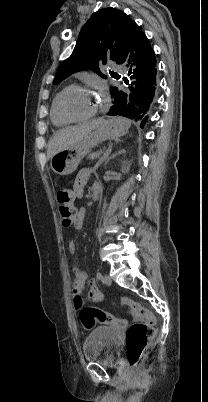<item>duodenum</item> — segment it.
Wrapping results in <instances>:
<instances>
[{
    "instance_id": "410a0bca",
    "label": "duodenum",
    "mask_w": 208,
    "mask_h": 402,
    "mask_svg": "<svg viewBox=\"0 0 208 402\" xmlns=\"http://www.w3.org/2000/svg\"><path fill=\"white\" fill-rule=\"evenodd\" d=\"M100 192H101V188H100L99 185H94V186L92 187V197H93L94 199H97V198L99 197Z\"/></svg>"
}]
</instances>
